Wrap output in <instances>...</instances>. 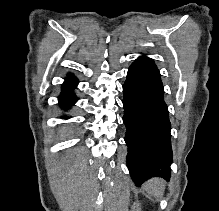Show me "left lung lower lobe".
Segmentation results:
<instances>
[{"instance_id": "0a47b994", "label": "left lung lower lobe", "mask_w": 219, "mask_h": 211, "mask_svg": "<svg viewBox=\"0 0 219 211\" xmlns=\"http://www.w3.org/2000/svg\"><path fill=\"white\" fill-rule=\"evenodd\" d=\"M160 77L154 61L141 56L123 85L127 164L136 186L152 177H170L171 124Z\"/></svg>"}]
</instances>
